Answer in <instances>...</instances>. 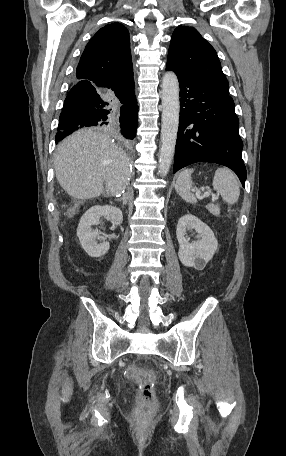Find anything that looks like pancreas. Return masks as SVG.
I'll return each mask as SVG.
<instances>
[{
    "label": "pancreas",
    "mask_w": 286,
    "mask_h": 456,
    "mask_svg": "<svg viewBox=\"0 0 286 456\" xmlns=\"http://www.w3.org/2000/svg\"><path fill=\"white\" fill-rule=\"evenodd\" d=\"M206 208L208 209V211H209L211 214H213V215H215V216H219V214H220V208H219L218 205H216V204H208V205L206 206Z\"/></svg>",
    "instance_id": "cf45deb5"
}]
</instances>
